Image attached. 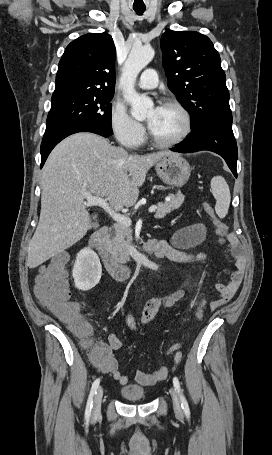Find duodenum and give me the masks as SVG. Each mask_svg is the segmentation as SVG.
Returning a JSON list of instances; mask_svg holds the SVG:
<instances>
[{"label":"duodenum","instance_id":"410a0bca","mask_svg":"<svg viewBox=\"0 0 272 455\" xmlns=\"http://www.w3.org/2000/svg\"><path fill=\"white\" fill-rule=\"evenodd\" d=\"M109 228L103 226L95 231L88 239V247L95 251L100 257L107 271L116 279H128L132 273L131 269L115 256L107 245ZM156 244L154 240L147 241L141 248L140 255L155 253Z\"/></svg>","mask_w":272,"mask_h":455}]
</instances>
